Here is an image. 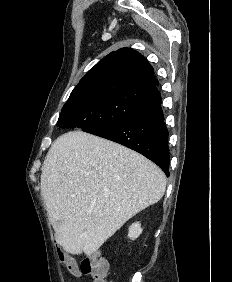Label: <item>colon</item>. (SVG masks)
<instances>
[{
	"instance_id": "obj_1",
	"label": "colon",
	"mask_w": 232,
	"mask_h": 282,
	"mask_svg": "<svg viewBox=\"0 0 232 282\" xmlns=\"http://www.w3.org/2000/svg\"><path fill=\"white\" fill-rule=\"evenodd\" d=\"M58 258L66 265L67 271L74 276H88L89 282H108L109 264L104 258L92 256L78 261L61 250L58 251Z\"/></svg>"
}]
</instances>
